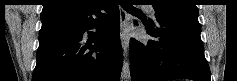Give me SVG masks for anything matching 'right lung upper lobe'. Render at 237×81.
Instances as JSON below:
<instances>
[{
    "label": "right lung upper lobe",
    "mask_w": 237,
    "mask_h": 81,
    "mask_svg": "<svg viewBox=\"0 0 237 81\" xmlns=\"http://www.w3.org/2000/svg\"><path fill=\"white\" fill-rule=\"evenodd\" d=\"M41 21L77 13L89 5V0H44Z\"/></svg>",
    "instance_id": "1"
}]
</instances>
